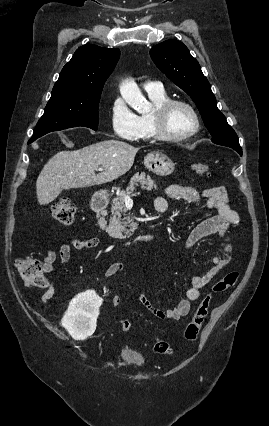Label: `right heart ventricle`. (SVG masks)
Wrapping results in <instances>:
<instances>
[{"label":"right heart ventricle","instance_id":"e07e8e85","mask_svg":"<svg viewBox=\"0 0 269 426\" xmlns=\"http://www.w3.org/2000/svg\"><path fill=\"white\" fill-rule=\"evenodd\" d=\"M149 99L152 102L153 109L162 103L169 100L168 95L165 92L162 93H148ZM152 112V111H151ZM150 113L141 114L138 116L140 135L138 138L141 139H151L153 137V131L150 125Z\"/></svg>","mask_w":269,"mask_h":426}]
</instances>
